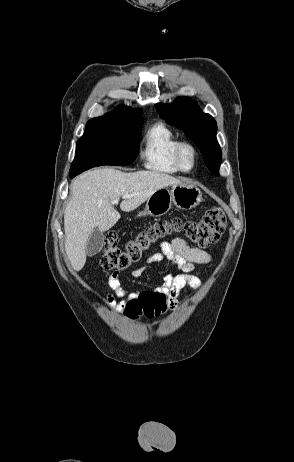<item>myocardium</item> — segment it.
Here are the masks:
<instances>
[{"label": "myocardium", "instance_id": "obj_1", "mask_svg": "<svg viewBox=\"0 0 294 462\" xmlns=\"http://www.w3.org/2000/svg\"><path fill=\"white\" fill-rule=\"evenodd\" d=\"M185 149L190 150L192 154V164L190 167H185L183 164L182 156H183V152ZM174 160L180 171H183V172L192 171L196 167L197 161H198V152H197L196 147L190 142H185V141L179 142L175 148Z\"/></svg>", "mask_w": 294, "mask_h": 462}]
</instances>
